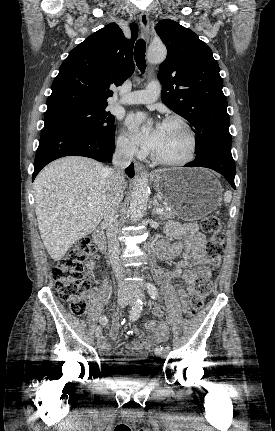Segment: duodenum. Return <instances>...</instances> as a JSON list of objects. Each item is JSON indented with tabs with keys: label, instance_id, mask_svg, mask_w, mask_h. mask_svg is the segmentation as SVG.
Masks as SVG:
<instances>
[{
	"label": "duodenum",
	"instance_id": "duodenum-1",
	"mask_svg": "<svg viewBox=\"0 0 275 431\" xmlns=\"http://www.w3.org/2000/svg\"><path fill=\"white\" fill-rule=\"evenodd\" d=\"M93 239L102 254L106 250V239L102 229L98 228L93 233Z\"/></svg>",
	"mask_w": 275,
	"mask_h": 431
}]
</instances>
